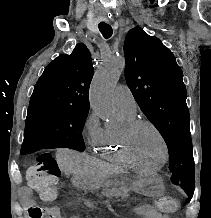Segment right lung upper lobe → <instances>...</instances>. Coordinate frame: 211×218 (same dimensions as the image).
Here are the masks:
<instances>
[{
	"instance_id": "obj_1",
	"label": "right lung upper lobe",
	"mask_w": 211,
	"mask_h": 218,
	"mask_svg": "<svg viewBox=\"0 0 211 218\" xmlns=\"http://www.w3.org/2000/svg\"><path fill=\"white\" fill-rule=\"evenodd\" d=\"M94 73L90 52L78 44L45 68L34 87L30 105L52 104L89 109V86Z\"/></svg>"
}]
</instances>
